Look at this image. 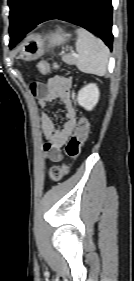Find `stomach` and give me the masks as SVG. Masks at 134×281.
<instances>
[{"label": "stomach", "instance_id": "1", "mask_svg": "<svg viewBox=\"0 0 134 281\" xmlns=\"http://www.w3.org/2000/svg\"><path fill=\"white\" fill-rule=\"evenodd\" d=\"M69 38V35L62 30H57L46 39H43L39 35L30 36L23 44L20 51V58L25 61L36 60L41 57L46 47H55L65 43Z\"/></svg>", "mask_w": 134, "mask_h": 281}]
</instances>
